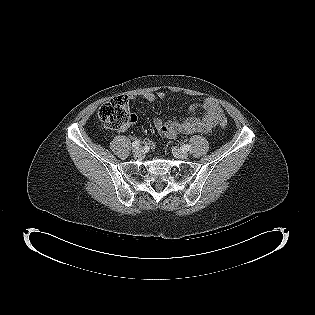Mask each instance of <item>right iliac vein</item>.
<instances>
[{"label": "right iliac vein", "mask_w": 315, "mask_h": 315, "mask_svg": "<svg viewBox=\"0 0 315 315\" xmlns=\"http://www.w3.org/2000/svg\"><path fill=\"white\" fill-rule=\"evenodd\" d=\"M133 153L135 156H140L143 153V150L141 147H137L133 150Z\"/></svg>", "instance_id": "1"}]
</instances>
